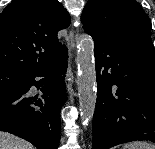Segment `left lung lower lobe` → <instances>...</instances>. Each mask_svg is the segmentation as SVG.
<instances>
[{
	"instance_id": "1",
	"label": "left lung lower lobe",
	"mask_w": 155,
	"mask_h": 149,
	"mask_svg": "<svg viewBox=\"0 0 155 149\" xmlns=\"http://www.w3.org/2000/svg\"><path fill=\"white\" fill-rule=\"evenodd\" d=\"M97 101L92 149L155 142V52L151 38L94 42Z\"/></svg>"
}]
</instances>
